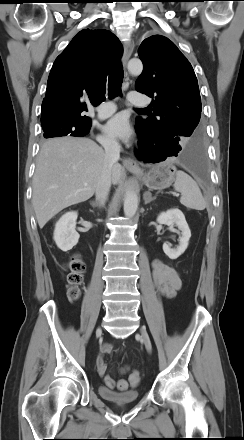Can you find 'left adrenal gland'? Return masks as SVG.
<instances>
[{"label":"left adrenal gland","mask_w":244,"mask_h":440,"mask_svg":"<svg viewBox=\"0 0 244 440\" xmlns=\"http://www.w3.org/2000/svg\"><path fill=\"white\" fill-rule=\"evenodd\" d=\"M143 199L145 201V204H148L151 201H154L156 199V197H151V193L147 192L146 194H144Z\"/></svg>","instance_id":"a2214340"}]
</instances>
